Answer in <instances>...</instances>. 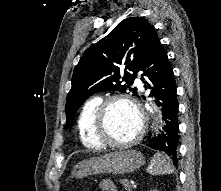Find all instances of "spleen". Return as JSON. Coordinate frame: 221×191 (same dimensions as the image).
Segmentation results:
<instances>
[{
    "label": "spleen",
    "mask_w": 221,
    "mask_h": 191,
    "mask_svg": "<svg viewBox=\"0 0 221 191\" xmlns=\"http://www.w3.org/2000/svg\"><path fill=\"white\" fill-rule=\"evenodd\" d=\"M173 171L171 162L159 153L154 155L147 169L151 175L172 174Z\"/></svg>",
    "instance_id": "3e777b00"
}]
</instances>
